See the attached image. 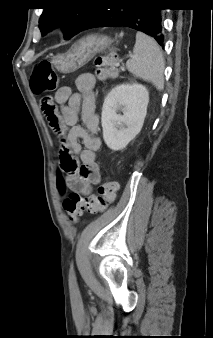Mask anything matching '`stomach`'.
Wrapping results in <instances>:
<instances>
[{"instance_id": "1", "label": "stomach", "mask_w": 213, "mask_h": 338, "mask_svg": "<svg viewBox=\"0 0 213 338\" xmlns=\"http://www.w3.org/2000/svg\"><path fill=\"white\" fill-rule=\"evenodd\" d=\"M113 40L103 35H89L74 43L68 52L54 58V67L63 74L73 73L87 64L98 52L112 46Z\"/></svg>"}]
</instances>
